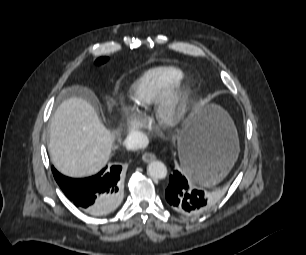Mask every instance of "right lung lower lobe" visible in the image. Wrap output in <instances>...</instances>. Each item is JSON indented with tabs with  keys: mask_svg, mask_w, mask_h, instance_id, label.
I'll list each match as a JSON object with an SVG mask.
<instances>
[{
	"mask_svg": "<svg viewBox=\"0 0 306 255\" xmlns=\"http://www.w3.org/2000/svg\"><path fill=\"white\" fill-rule=\"evenodd\" d=\"M120 165L102 169L97 175L73 179L60 174L52 168L58 185L67 198L84 212L102 216L112 212L121 197Z\"/></svg>",
	"mask_w": 306,
	"mask_h": 255,
	"instance_id": "obj_1",
	"label": "right lung lower lobe"
}]
</instances>
